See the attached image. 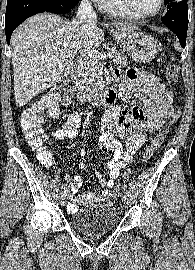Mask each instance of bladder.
Here are the masks:
<instances>
[{
  "mask_svg": "<svg viewBox=\"0 0 195 270\" xmlns=\"http://www.w3.org/2000/svg\"><path fill=\"white\" fill-rule=\"evenodd\" d=\"M120 211L114 204H96L75 212L71 224L77 230L97 236L113 230L119 223Z\"/></svg>",
  "mask_w": 195,
  "mask_h": 270,
  "instance_id": "bladder-1",
  "label": "bladder"
}]
</instances>
